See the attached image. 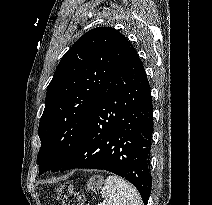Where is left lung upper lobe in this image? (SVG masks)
I'll use <instances>...</instances> for the list:
<instances>
[{"instance_id":"1","label":"left lung upper lobe","mask_w":212,"mask_h":205,"mask_svg":"<svg viewBox=\"0 0 212 205\" xmlns=\"http://www.w3.org/2000/svg\"><path fill=\"white\" fill-rule=\"evenodd\" d=\"M131 44L110 27L92 29L62 57L47 87L38 134L40 174L59 171L76 151L87 122Z\"/></svg>"}]
</instances>
